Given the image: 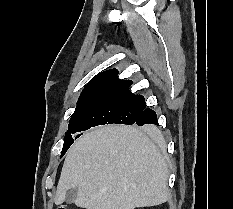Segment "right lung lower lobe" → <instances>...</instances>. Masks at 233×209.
Segmentation results:
<instances>
[{"label":"right lung lower lobe","instance_id":"obj_1","mask_svg":"<svg viewBox=\"0 0 233 209\" xmlns=\"http://www.w3.org/2000/svg\"><path fill=\"white\" fill-rule=\"evenodd\" d=\"M135 124L152 129L154 124L157 125V115L153 110L145 108L135 121Z\"/></svg>","mask_w":233,"mask_h":209}]
</instances>
